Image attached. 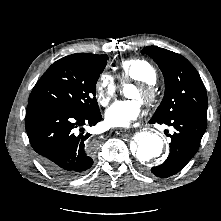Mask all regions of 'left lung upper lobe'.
<instances>
[{"mask_svg":"<svg viewBox=\"0 0 221 221\" xmlns=\"http://www.w3.org/2000/svg\"><path fill=\"white\" fill-rule=\"evenodd\" d=\"M141 52L158 64L165 80V95L152 120L163 122L179 114L207 120L206 89L193 65L180 54L157 46H147Z\"/></svg>","mask_w":221,"mask_h":221,"instance_id":"5c2ea615","label":"left lung upper lobe"}]
</instances>
